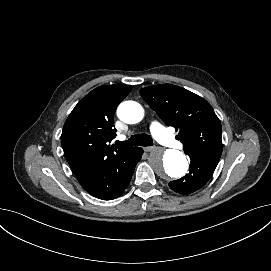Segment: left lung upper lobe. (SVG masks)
Here are the masks:
<instances>
[{"instance_id": "obj_1", "label": "left lung upper lobe", "mask_w": 271, "mask_h": 271, "mask_svg": "<svg viewBox=\"0 0 271 271\" xmlns=\"http://www.w3.org/2000/svg\"><path fill=\"white\" fill-rule=\"evenodd\" d=\"M140 94L167 126L179 130L176 139L183 143L186 154L208 152L220 158L221 123L205 99L172 84L146 87Z\"/></svg>"}]
</instances>
